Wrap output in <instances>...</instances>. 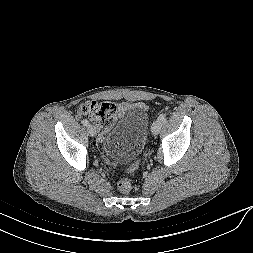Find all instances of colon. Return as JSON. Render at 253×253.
Returning <instances> with one entry per match:
<instances>
[{
    "instance_id": "colon-1",
    "label": "colon",
    "mask_w": 253,
    "mask_h": 253,
    "mask_svg": "<svg viewBox=\"0 0 253 253\" xmlns=\"http://www.w3.org/2000/svg\"><path fill=\"white\" fill-rule=\"evenodd\" d=\"M117 105L112 102L86 101L79 106V112L89 116L97 125L99 130L106 131L114 122ZM138 167L135 162L130 171H134ZM118 189L122 193H128L132 189V183L129 179H121L118 182Z\"/></svg>"
}]
</instances>
